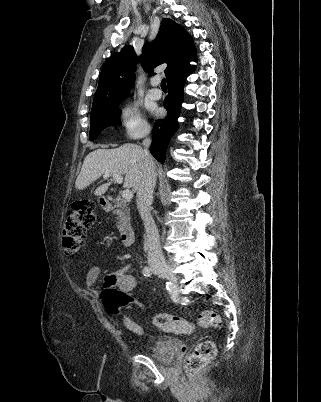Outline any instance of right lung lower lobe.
I'll return each instance as SVG.
<instances>
[{
    "label": "right lung lower lobe",
    "mask_w": 321,
    "mask_h": 402,
    "mask_svg": "<svg viewBox=\"0 0 321 402\" xmlns=\"http://www.w3.org/2000/svg\"><path fill=\"white\" fill-rule=\"evenodd\" d=\"M192 71L193 68L167 82L169 94L164 100L167 117L162 121H156L152 131L153 142L150 147L151 154L161 163H164L169 140L178 129L177 118L183 102V87L187 76Z\"/></svg>",
    "instance_id": "right-lung-lower-lobe-1"
}]
</instances>
